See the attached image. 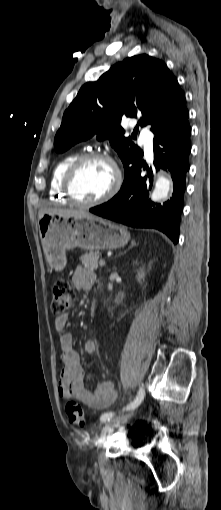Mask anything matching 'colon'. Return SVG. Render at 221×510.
Here are the masks:
<instances>
[{"label": "colon", "mask_w": 221, "mask_h": 510, "mask_svg": "<svg viewBox=\"0 0 221 510\" xmlns=\"http://www.w3.org/2000/svg\"><path fill=\"white\" fill-rule=\"evenodd\" d=\"M76 299V290L65 279H57L53 286L51 311L54 315H62L69 309ZM66 413L69 422L78 427L86 424V415L76 401L70 400L66 404Z\"/></svg>", "instance_id": "obj_1"}]
</instances>
